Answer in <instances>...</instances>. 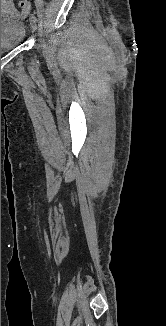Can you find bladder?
<instances>
[{"instance_id": "31cf9c89", "label": "bladder", "mask_w": 166, "mask_h": 326, "mask_svg": "<svg viewBox=\"0 0 166 326\" xmlns=\"http://www.w3.org/2000/svg\"><path fill=\"white\" fill-rule=\"evenodd\" d=\"M25 33V25L20 18L1 15V54L18 47Z\"/></svg>"}]
</instances>
